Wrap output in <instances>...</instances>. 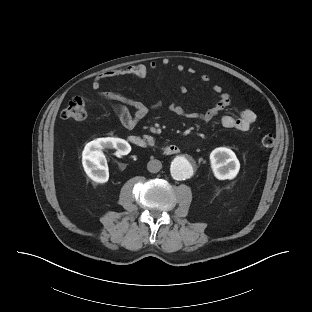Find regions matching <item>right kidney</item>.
I'll return each mask as SVG.
<instances>
[{
  "label": "right kidney",
  "instance_id": "right-kidney-1",
  "mask_svg": "<svg viewBox=\"0 0 312 312\" xmlns=\"http://www.w3.org/2000/svg\"><path fill=\"white\" fill-rule=\"evenodd\" d=\"M114 148L121 155L131 151L130 144L120 138H98L86 144L82 153L84 171L90 179L97 183H105L109 179V171L103 149Z\"/></svg>",
  "mask_w": 312,
  "mask_h": 312
}]
</instances>
